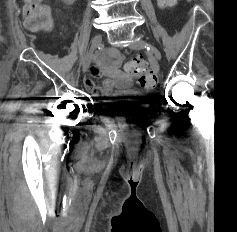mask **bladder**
<instances>
[{
  "instance_id": "1",
  "label": "bladder",
  "mask_w": 237,
  "mask_h": 232,
  "mask_svg": "<svg viewBox=\"0 0 237 232\" xmlns=\"http://www.w3.org/2000/svg\"><path fill=\"white\" fill-rule=\"evenodd\" d=\"M132 96L133 93L127 90L118 93L115 98L100 101L99 105L109 116L131 118L137 115L141 109L140 103L130 98Z\"/></svg>"
}]
</instances>
